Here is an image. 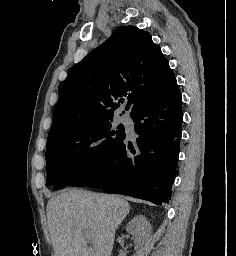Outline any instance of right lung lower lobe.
I'll list each match as a JSON object with an SVG mask.
<instances>
[{"instance_id":"1","label":"right lung lower lobe","mask_w":236,"mask_h":256,"mask_svg":"<svg viewBox=\"0 0 236 256\" xmlns=\"http://www.w3.org/2000/svg\"><path fill=\"white\" fill-rule=\"evenodd\" d=\"M131 117L137 123L134 146L125 135L112 153L69 185L101 188L156 205L169 203L183 119L177 82L145 101Z\"/></svg>"}]
</instances>
